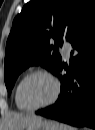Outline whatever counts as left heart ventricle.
Segmentation results:
<instances>
[{"label":"left heart ventricle","instance_id":"1","mask_svg":"<svg viewBox=\"0 0 95 130\" xmlns=\"http://www.w3.org/2000/svg\"><path fill=\"white\" fill-rule=\"evenodd\" d=\"M54 93L53 82L44 75L30 77L22 88V98L30 106H39L51 99Z\"/></svg>","mask_w":95,"mask_h":130}]
</instances>
